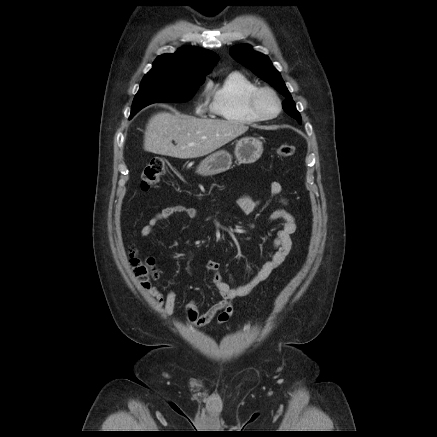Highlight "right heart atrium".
<instances>
[{
    "label": "right heart atrium",
    "instance_id": "right-heart-atrium-1",
    "mask_svg": "<svg viewBox=\"0 0 437 437\" xmlns=\"http://www.w3.org/2000/svg\"><path fill=\"white\" fill-rule=\"evenodd\" d=\"M199 111H203V105L202 104L199 105Z\"/></svg>",
    "mask_w": 437,
    "mask_h": 437
}]
</instances>
